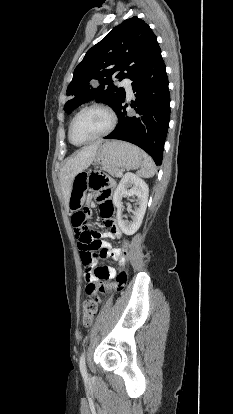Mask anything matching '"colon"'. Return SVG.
<instances>
[{
	"instance_id": "colon-1",
	"label": "colon",
	"mask_w": 233,
	"mask_h": 414,
	"mask_svg": "<svg viewBox=\"0 0 233 414\" xmlns=\"http://www.w3.org/2000/svg\"><path fill=\"white\" fill-rule=\"evenodd\" d=\"M89 186L92 190L99 194L98 199L101 202L100 210L104 218L113 214V204L109 200L114 189V180L103 172H94L89 177ZM72 222L78 233V244L80 248V255L83 266L86 271L93 268L98 255L103 257L102 243L98 239L97 232L90 230L88 227V212L86 210H79L74 213ZM117 261L119 262V273L116 276V282L113 286L117 290L124 288L128 277V243L124 241L123 246L115 253ZM99 277V282L96 284H88L85 289L86 299L83 304V324L90 326L97 313L99 303L101 301L99 292L104 291L102 280L107 275L105 266H100L95 269Z\"/></svg>"
}]
</instances>
